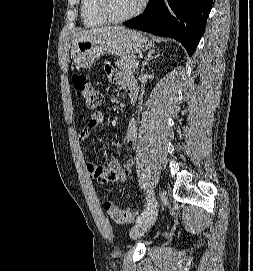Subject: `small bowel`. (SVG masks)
<instances>
[{
	"mask_svg": "<svg viewBox=\"0 0 253 271\" xmlns=\"http://www.w3.org/2000/svg\"><path fill=\"white\" fill-rule=\"evenodd\" d=\"M105 72L111 83L122 86L130 95L134 97L138 94V85L133 77L119 73L110 64L105 66ZM105 114L102 111L95 112L91 115L86 126L76 134L78 142H86L92 133L98 129L104 122ZM137 138V122L135 119H130L126 133L123 138V143L131 149L136 146ZM134 165L132 158L127 159L123 164L113 159L109 166L101 167L92 162L87 163V170L92 180L99 183H107L109 181L126 180Z\"/></svg>",
	"mask_w": 253,
	"mask_h": 271,
	"instance_id": "small-bowel-1",
	"label": "small bowel"
}]
</instances>
